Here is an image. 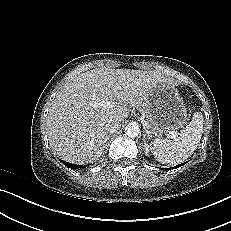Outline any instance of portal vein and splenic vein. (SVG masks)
Here are the masks:
<instances>
[{"mask_svg":"<svg viewBox=\"0 0 231 231\" xmlns=\"http://www.w3.org/2000/svg\"><path fill=\"white\" fill-rule=\"evenodd\" d=\"M114 102H111V101H93L92 102V106L94 107H103V108H106V107H110V106H113ZM143 122V120H142Z\"/></svg>","mask_w":231,"mask_h":231,"instance_id":"18ae733b","label":"portal vein and splenic vein"}]
</instances>
